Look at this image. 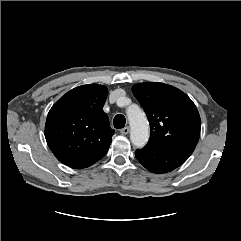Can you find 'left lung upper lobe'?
<instances>
[{"label": "left lung upper lobe", "mask_w": 241, "mask_h": 241, "mask_svg": "<svg viewBox=\"0 0 241 241\" xmlns=\"http://www.w3.org/2000/svg\"><path fill=\"white\" fill-rule=\"evenodd\" d=\"M132 91L149 120L151 135L147 145L194 151L201 121L195 104L184 92L156 82L136 84Z\"/></svg>", "instance_id": "1"}]
</instances>
